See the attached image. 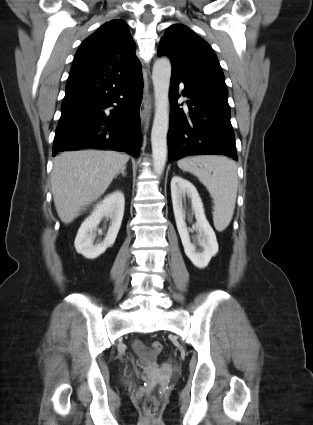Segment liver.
Returning <instances> with one entry per match:
<instances>
[{
  "label": "liver",
  "instance_id": "liver-1",
  "mask_svg": "<svg viewBox=\"0 0 313 425\" xmlns=\"http://www.w3.org/2000/svg\"><path fill=\"white\" fill-rule=\"evenodd\" d=\"M129 160L115 151L63 152L54 158L51 187L57 214L65 224L97 200Z\"/></svg>",
  "mask_w": 313,
  "mask_h": 425
}]
</instances>
